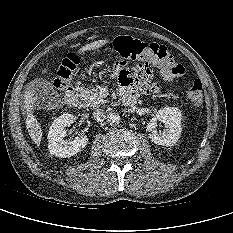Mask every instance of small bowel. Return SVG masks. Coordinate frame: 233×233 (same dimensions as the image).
I'll return each mask as SVG.
<instances>
[{"instance_id": "1", "label": "small bowel", "mask_w": 233, "mask_h": 233, "mask_svg": "<svg viewBox=\"0 0 233 233\" xmlns=\"http://www.w3.org/2000/svg\"><path fill=\"white\" fill-rule=\"evenodd\" d=\"M123 97L128 94L137 95L138 90L155 93L159 90L158 83L152 78L158 73V66L153 61H139L135 58L120 60L115 65Z\"/></svg>"}]
</instances>
